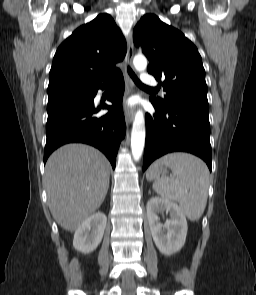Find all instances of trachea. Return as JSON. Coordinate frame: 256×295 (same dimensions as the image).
<instances>
[{
	"mask_svg": "<svg viewBox=\"0 0 256 295\" xmlns=\"http://www.w3.org/2000/svg\"><path fill=\"white\" fill-rule=\"evenodd\" d=\"M128 73L129 75L131 76V78L133 79V81L140 87L142 88H145V89H148V90H153L155 91L156 89L155 88H151V87H148L146 85H144L138 78L137 76L135 75V73L132 71V69L128 66Z\"/></svg>",
	"mask_w": 256,
	"mask_h": 295,
	"instance_id": "obj_1",
	"label": "trachea"
}]
</instances>
